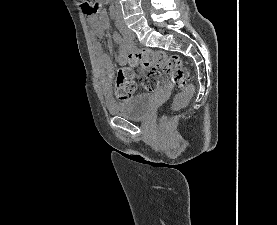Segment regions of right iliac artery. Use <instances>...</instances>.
<instances>
[{"mask_svg":"<svg viewBox=\"0 0 277 225\" xmlns=\"http://www.w3.org/2000/svg\"><path fill=\"white\" fill-rule=\"evenodd\" d=\"M122 40H123V42H124L126 45H128V46H131V45H132V40H131L130 38L124 36V37L122 38Z\"/></svg>","mask_w":277,"mask_h":225,"instance_id":"obj_1","label":"right iliac artery"}]
</instances>
